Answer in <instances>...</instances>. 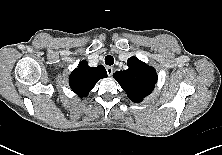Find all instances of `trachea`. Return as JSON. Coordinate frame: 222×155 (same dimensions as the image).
<instances>
[{
    "mask_svg": "<svg viewBox=\"0 0 222 155\" xmlns=\"http://www.w3.org/2000/svg\"><path fill=\"white\" fill-rule=\"evenodd\" d=\"M105 64L111 66L114 64V58L110 55L105 57Z\"/></svg>",
    "mask_w": 222,
    "mask_h": 155,
    "instance_id": "obj_1",
    "label": "trachea"
}]
</instances>
